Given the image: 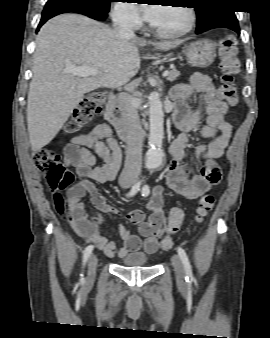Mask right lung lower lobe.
I'll return each instance as SVG.
<instances>
[{
	"label": "right lung lower lobe",
	"instance_id": "right-lung-lower-lobe-1",
	"mask_svg": "<svg viewBox=\"0 0 270 338\" xmlns=\"http://www.w3.org/2000/svg\"><path fill=\"white\" fill-rule=\"evenodd\" d=\"M68 12H75L79 14L86 15L90 18L96 20H104L107 17L108 12L97 11L90 8L85 7H63V6H56V7H45L42 12V18L38 25L37 31L40 27L50 18Z\"/></svg>",
	"mask_w": 270,
	"mask_h": 338
}]
</instances>
